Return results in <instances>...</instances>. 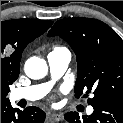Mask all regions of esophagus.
I'll return each mask as SVG.
<instances>
[{
	"label": "esophagus",
	"instance_id": "34e87169",
	"mask_svg": "<svg viewBox=\"0 0 123 123\" xmlns=\"http://www.w3.org/2000/svg\"><path fill=\"white\" fill-rule=\"evenodd\" d=\"M48 117L52 120H54L55 122H59L61 120H63V115L62 114H59V113H52V114H49Z\"/></svg>",
	"mask_w": 123,
	"mask_h": 123
}]
</instances>
